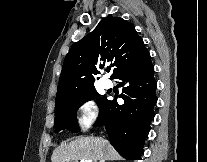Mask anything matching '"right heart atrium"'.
I'll list each match as a JSON object with an SVG mask.
<instances>
[{"instance_id": "right-heart-atrium-1", "label": "right heart atrium", "mask_w": 207, "mask_h": 162, "mask_svg": "<svg viewBox=\"0 0 207 162\" xmlns=\"http://www.w3.org/2000/svg\"><path fill=\"white\" fill-rule=\"evenodd\" d=\"M98 118V107L93 99L83 101L79 106V124L82 130L88 129Z\"/></svg>"}]
</instances>
